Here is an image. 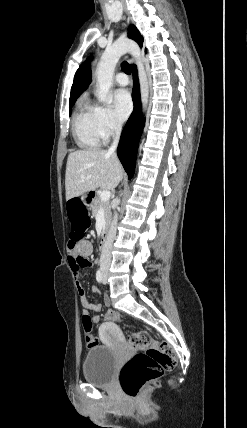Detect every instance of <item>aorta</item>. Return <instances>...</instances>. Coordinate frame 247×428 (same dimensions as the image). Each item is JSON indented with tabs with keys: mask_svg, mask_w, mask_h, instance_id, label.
Instances as JSON below:
<instances>
[{
	"mask_svg": "<svg viewBox=\"0 0 247 428\" xmlns=\"http://www.w3.org/2000/svg\"><path fill=\"white\" fill-rule=\"evenodd\" d=\"M122 51L119 50L116 46H111L107 48L101 56V59L98 63L96 69L97 77V98L100 102L110 103L111 98L109 97V91L112 85V78L116 64L118 63ZM132 55L138 60L136 65L139 72V82H140V93L143 109L147 108L148 99H149V83L148 77L144 68L143 63L140 60L141 54L138 49L132 50Z\"/></svg>",
	"mask_w": 247,
	"mask_h": 428,
	"instance_id": "obj_1",
	"label": "aorta"
}]
</instances>
